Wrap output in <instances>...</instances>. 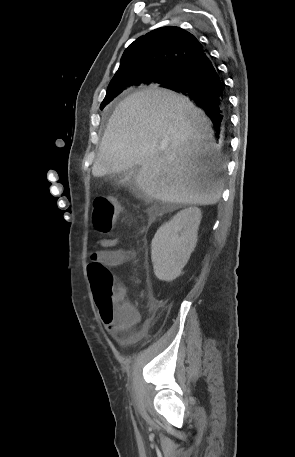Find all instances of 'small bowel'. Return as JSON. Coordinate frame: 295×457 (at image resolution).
I'll return each instance as SVG.
<instances>
[{"label":"small bowel","mask_w":295,"mask_h":457,"mask_svg":"<svg viewBox=\"0 0 295 457\" xmlns=\"http://www.w3.org/2000/svg\"><path fill=\"white\" fill-rule=\"evenodd\" d=\"M120 240L107 238L100 241L101 248L91 254L93 261L100 262L110 267L120 266L134 258L132 249H125L119 246ZM106 329L115 337L123 338V333L139 321V314L135 308L127 302V311L120 318L109 321L103 320Z\"/></svg>","instance_id":"c3829d8e"}]
</instances>
